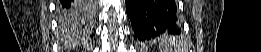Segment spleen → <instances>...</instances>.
Here are the masks:
<instances>
[{
	"mask_svg": "<svg viewBox=\"0 0 261 52\" xmlns=\"http://www.w3.org/2000/svg\"><path fill=\"white\" fill-rule=\"evenodd\" d=\"M180 45V42L176 38L172 37H161L160 40V49L161 52H173V50H176Z\"/></svg>",
	"mask_w": 261,
	"mask_h": 52,
	"instance_id": "spleen-1",
	"label": "spleen"
}]
</instances>
